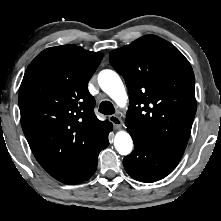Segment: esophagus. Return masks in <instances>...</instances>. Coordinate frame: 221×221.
<instances>
[{"label": "esophagus", "instance_id": "1", "mask_svg": "<svg viewBox=\"0 0 221 221\" xmlns=\"http://www.w3.org/2000/svg\"><path fill=\"white\" fill-rule=\"evenodd\" d=\"M108 118H109L110 122L113 123L115 128H117V129L121 128L122 120L120 117H118L116 115H110Z\"/></svg>", "mask_w": 221, "mask_h": 221}]
</instances>
